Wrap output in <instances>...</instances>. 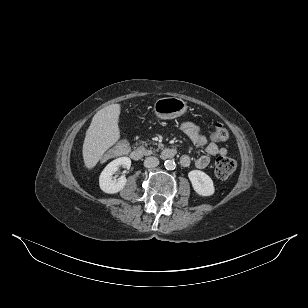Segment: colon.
<instances>
[{"mask_svg": "<svg viewBox=\"0 0 308 308\" xmlns=\"http://www.w3.org/2000/svg\"><path fill=\"white\" fill-rule=\"evenodd\" d=\"M211 138L216 142H225L229 138V132L227 128L220 123H217L211 133ZM130 146L125 139H121L116 146L106 153L102 158L101 162L107 165L113 158H121L123 155L130 153ZM236 163L233 159L225 156L217 158L215 163V175L220 179H226L232 175L235 171Z\"/></svg>", "mask_w": 308, "mask_h": 308, "instance_id": "5ec220e1", "label": "colon"}]
</instances>
